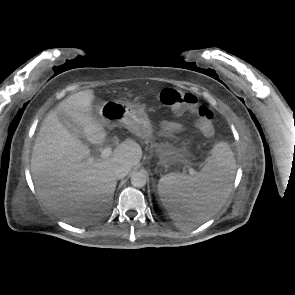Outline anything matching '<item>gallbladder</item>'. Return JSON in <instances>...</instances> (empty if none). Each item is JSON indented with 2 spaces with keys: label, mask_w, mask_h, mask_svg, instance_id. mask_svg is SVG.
I'll use <instances>...</instances> for the list:
<instances>
[{
  "label": "gallbladder",
  "mask_w": 295,
  "mask_h": 295,
  "mask_svg": "<svg viewBox=\"0 0 295 295\" xmlns=\"http://www.w3.org/2000/svg\"><path fill=\"white\" fill-rule=\"evenodd\" d=\"M59 121L72 134H74L77 137L80 136V132L74 127V125L70 122V120L65 115H59Z\"/></svg>",
  "instance_id": "1"
}]
</instances>
